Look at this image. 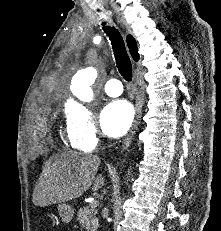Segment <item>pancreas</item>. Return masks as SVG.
Returning a JSON list of instances; mask_svg holds the SVG:
<instances>
[{
  "mask_svg": "<svg viewBox=\"0 0 221 231\" xmlns=\"http://www.w3.org/2000/svg\"><path fill=\"white\" fill-rule=\"evenodd\" d=\"M96 214L97 211L94 207L83 206L77 212V221L86 231H97L99 223Z\"/></svg>",
  "mask_w": 221,
  "mask_h": 231,
  "instance_id": "pancreas-1",
  "label": "pancreas"
}]
</instances>
